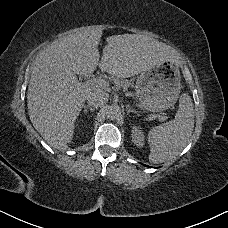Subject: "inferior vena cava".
Segmentation results:
<instances>
[{"instance_id":"1","label":"inferior vena cava","mask_w":228,"mask_h":228,"mask_svg":"<svg viewBox=\"0 0 228 228\" xmlns=\"http://www.w3.org/2000/svg\"><path fill=\"white\" fill-rule=\"evenodd\" d=\"M109 100V95L104 90L92 91L87 97V102L95 108L102 107Z\"/></svg>"}]
</instances>
